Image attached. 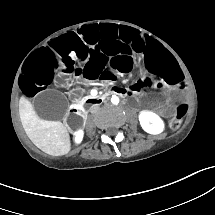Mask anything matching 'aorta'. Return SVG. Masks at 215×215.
<instances>
[{
    "label": "aorta",
    "instance_id": "obj_1",
    "mask_svg": "<svg viewBox=\"0 0 215 215\" xmlns=\"http://www.w3.org/2000/svg\"><path fill=\"white\" fill-rule=\"evenodd\" d=\"M111 102L113 103V104H118L119 102H120V99H119V97L118 96H112V98H111Z\"/></svg>",
    "mask_w": 215,
    "mask_h": 215
}]
</instances>
